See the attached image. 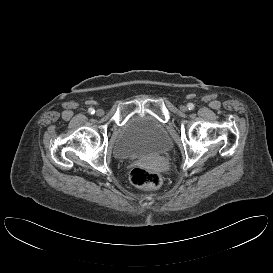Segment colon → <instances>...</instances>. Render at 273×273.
<instances>
[{"instance_id":"5ec220e1","label":"colon","mask_w":273,"mask_h":273,"mask_svg":"<svg viewBox=\"0 0 273 273\" xmlns=\"http://www.w3.org/2000/svg\"><path fill=\"white\" fill-rule=\"evenodd\" d=\"M129 179L134 186L146 191L158 189L163 183V178L160 174L141 166H137L131 170Z\"/></svg>"}]
</instances>
